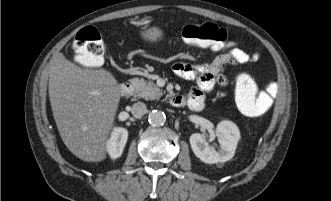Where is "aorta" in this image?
<instances>
[{
  "mask_svg": "<svg viewBox=\"0 0 331 201\" xmlns=\"http://www.w3.org/2000/svg\"><path fill=\"white\" fill-rule=\"evenodd\" d=\"M149 123L154 127H159L165 124L166 122V115L161 110H153L149 114Z\"/></svg>",
  "mask_w": 331,
  "mask_h": 201,
  "instance_id": "1",
  "label": "aorta"
}]
</instances>
